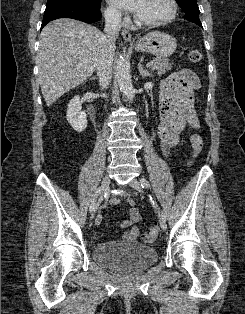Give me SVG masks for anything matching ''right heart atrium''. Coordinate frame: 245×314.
I'll return each mask as SVG.
<instances>
[{
    "mask_svg": "<svg viewBox=\"0 0 245 314\" xmlns=\"http://www.w3.org/2000/svg\"><path fill=\"white\" fill-rule=\"evenodd\" d=\"M105 16L112 23H117L120 19V13L112 7L105 9Z\"/></svg>",
    "mask_w": 245,
    "mask_h": 314,
    "instance_id": "obj_1",
    "label": "right heart atrium"
}]
</instances>
